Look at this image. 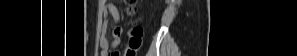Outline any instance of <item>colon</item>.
Wrapping results in <instances>:
<instances>
[{
  "mask_svg": "<svg viewBox=\"0 0 297 56\" xmlns=\"http://www.w3.org/2000/svg\"><path fill=\"white\" fill-rule=\"evenodd\" d=\"M126 11L129 15H134L137 10L136 0H126ZM142 28L140 26L133 27L128 35V41L125 50V56H137L138 51L142 47ZM119 54L116 53V56Z\"/></svg>",
  "mask_w": 297,
  "mask_h": 56,
  "instance_id": "1",
  "label": "colon"
}]
</instances>
